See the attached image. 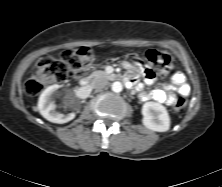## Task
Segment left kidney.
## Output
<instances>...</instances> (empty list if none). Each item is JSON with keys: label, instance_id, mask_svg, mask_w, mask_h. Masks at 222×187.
I'll return each instance as SVG.
<instances>
[{"label": "left kidney", "instance_id": "1", "mask_svg": "<svg viewBox=\"0 0 222 187\" xmlns=\"http://www.w3.org/2000/svg\"><path fill=\"white\" fill-rule=\"evenodd\" d=\"M142 123L153 131L165 132L170 128V117L166 108L157 102H146L142 107Z\"/></svg>", "mask_w": 222, "mask_h": 187}]
</instances>
